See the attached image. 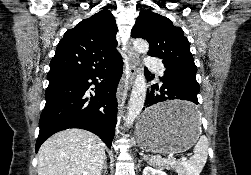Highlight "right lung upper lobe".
Segmentation results:
<instances>
[{
  "label": "right lung upper lobe",
  "mask_w": 251,
  "mask_h": 175,
  "mask_svg": "<svg viewBox=\"0 0 251 175\" xmlns=\"http://www.w3.org/2000/svg\"><path fill=\"white\" fill-rule=\"evenodd\" d=\"M117 31L115 18L107 9L69 29L50 62L48 80L103 69L121 58L115 49Z\"/></svg>",
  "instance_id": "1"
}]
</instances>
